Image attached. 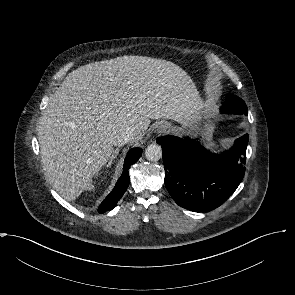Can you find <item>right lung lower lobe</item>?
Here are the masks:
<instances>
[{"mask_svg":"<svg viewBox=\"0 0 295 295\" xmlns=\"http://www.w3.org/2000/svg\"><path fill=\"white\" fill-rule=\"evenodd\" d=\"M143 150L141 148L131 149L125 159L123 166V173L119 180L117 181L115 187L111 191V193L104 199V201L100 204L98 208L99 213H104L106 211L112 210L116 203L120 200V198L125 193L126 189L129 185V172L128 169L132 164H134L141 157Z\"/></svg>","mask_w":295,"mask_h":295,"instance_id":"right-lung-lower-lobe-1","label":"right lung lower lobe"}]
</instances>
